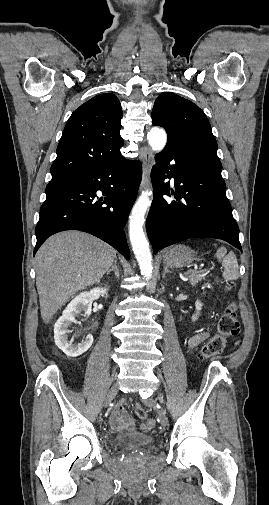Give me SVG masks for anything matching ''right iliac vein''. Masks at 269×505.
Wrapping results in <instances>:
<instances>
[{
    "instance_id": "obj_1",
    "label": "right iliac vein",
    "mask_w": 269,
    "mask_h": 505,
    "mask_svg": "<svg viewBox=\"0 0 269 505\" xmlns=\"http://www.w3.org/2000/svg\"><path fill=\"white\" fill-rule=\"evenodd\" d=\"M119 385V382L118 381H115L114 382V386L109 390L106 398H105V402H104V406L107 407L110 402L114 399V397L116 396L117 392H118V386Z\"/></svg>"
}]
</instances>
